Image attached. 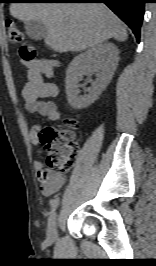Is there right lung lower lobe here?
Returning <instances> with one entry per match:
<instances>
[{
	"label": "right lung lower lobe",
	"mask_w": 156,
	"mask_h": 266,
	"mask_svg": "<svg viewBox=\"0 0 156 266\" xmlns=\"http://www.w3.org/2000/svg\"><path fill=\"white\" fill-rule=\"evenodd\" d=\"M61 3H105L132 30L137 41L144 16L146 0H48Z\"/></svg>",
	"instance_id": "obj_1"
}]
</instances>
